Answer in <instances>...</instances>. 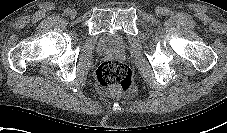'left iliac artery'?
<instances>
[{"label":"left iliac artery","instance_id":"1","mask_svg":"<svg viewBox=\"0 0 227 133\" xmlns=\"http://www.w3.org/2000/svg\"><path fill=\"white\" fill-rule=\"evenodd\" d=\"M164 11H165V15H168L170 13V10L168 8H165Z\"/></svg>","mask_w":227,"mask_h":133}]
</instances>
